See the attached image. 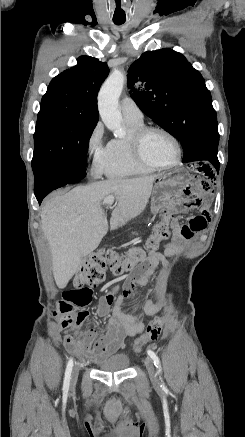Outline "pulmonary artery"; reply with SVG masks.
Wrapping results in <instances>:
<instances>
[{
    "instance_id": "1",
    "label": "pulmonary artery",
    "mask_w": 245,
    "mask_h": 437,
    "mask_svg": "<svg viewBox=\"0 0 245 437\" xmlns=\"http://www.w3.org/2000/svg\"><path fill=\"white\" fill-rule=\"evenodd\" d=\"M120 108L124 119L134 122H142L143 114L131 98H123L120 104Z\"/></svg>"
}]
</instances>
